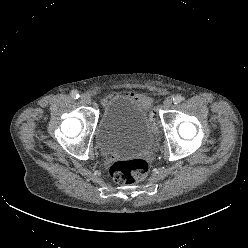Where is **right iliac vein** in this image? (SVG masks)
Returning <instances> with one entry per match:
<instances>
[{
  "label": "right iliac vein",
  "mask_w": 248,
  "mask_h": 248,
  "mask_svg": "<svg viewBox=\"0 0 248 248\" xmlns=\"http://www.w3.org/2000/svg\"><path fill=\"white\" fill-rule=\"evenodd\" d=\"M80 99L84 104H91V97L88 94H82Z\"/></svg>",
  "instance_id": "1"
}]
</instances>
